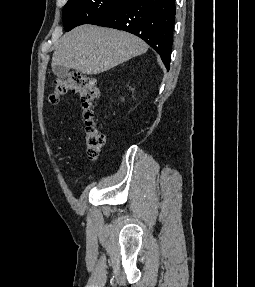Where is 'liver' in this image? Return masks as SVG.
Listing matches in <instances>:
<instances>
[{
    "mask_svg": "<svg viewBox=\"0 0 255 287\" xmlns=\"http://www.w3.org/2000/svg\"><path fill=\"white\" fill-rule=\"evenodd\" d=\"M147 50L143 40L128 32L85 24L60 38L51 66H65L91 76L141 56Z\"/></svg>",
    "mask_w": 255,
    "mask_h": 287,
    "instance_id": "obj_1",
    "label": "liver"
}]
</instances>
